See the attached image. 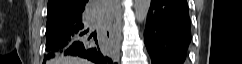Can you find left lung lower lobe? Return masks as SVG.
I'll return each mask as SVG.
<instances>
[{
  "label": "left lung lower lobe",
  "mask_w": 242,
  "mask_h": 64,
  "mask_svg": "<svg viewBox=\"0 0 242 64\" xmlns=\"http://www.w3.org/2000/svg\"><path fill=\"white\" fill-rule=\"evenodd\" d=\"M144 41L152 64H183L191 41L187 0H151Z\"/></svg>",
  "instance_id": "obj_1"
}]
</instances>
